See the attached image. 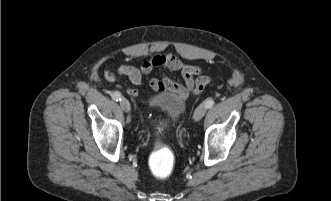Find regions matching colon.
I'll use <instances>...</instances> for the list:
<instances>
[{
  "instance_id": "obj_1",
  "label": "colon",
  "mask_w": 331,
  "mask_h": 201,
  "mask_svg": "<svg viewBox=\"0 0 331 201\" xmlns=\"http://www.w3.org/2000/svg\"><path fill=\"white\" fill-rule=\"evenodd\" d=\"M208 83L207 76H201L197 79L194 91L199 94ZM150 169L157 178H167L174 167V155L166 146L157 147L150 156Z\"/></svg>"
}]
</instances>
